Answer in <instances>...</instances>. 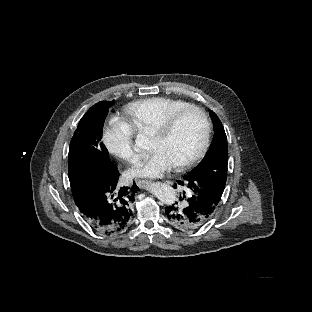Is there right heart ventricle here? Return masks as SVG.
Segmentation results:
<instances>
[{"label":"right heart ventricle","instance_id":"right-heart-ventricle-1","mask_svg":"<svg viewBox=\"0 0 312 312\" xmlns=\"http://www.w3.org/2000/svg\"><path fill=\"white\" fill-rule=\"evenodd\" d=\"M190 106L184 95H142L128 104L132 120L143 132H153L167 120L186 111Z\"/></svg>","mask_w":312,"mask_h":312}]
</instances>
